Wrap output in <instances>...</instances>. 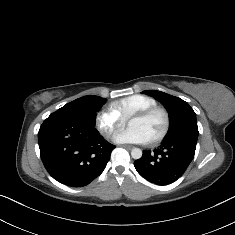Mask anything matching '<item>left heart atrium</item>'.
<instances>
[{"label": "left heart atrium", "mask_w": 235, "mask_h": 235, "mask_svg": "<svg viewBox=\"0 0 235 235\" xmlns=\"http://www.w3.org/2000/svg\"><path fill=\"white\" fill-rule=\"evenodd\" d=\"M112 140L119 144H146L149 142L146 134L138 128H128L113 134Z\"/></svg>", "instance_id": "obj_1"}]
</instances>
